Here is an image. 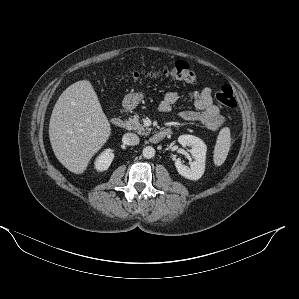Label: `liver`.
<instances>
[{"instance_id": "liver-1", "label": "liver", "mask_w": 299, "mask_h": 299, "mask_svg": "<svg viewBox=\"0 0 299 299\" xmlns=\"http://www.w3.org/2000/svg\"><path fill=\"white\" fill-rule=\"evenodd\" d=\"M111 133L93 86L88 80L70 85L58 98L49 123V139L59 162L81 174Z\"/></svg>"}]
</instances>
